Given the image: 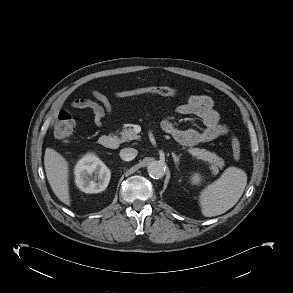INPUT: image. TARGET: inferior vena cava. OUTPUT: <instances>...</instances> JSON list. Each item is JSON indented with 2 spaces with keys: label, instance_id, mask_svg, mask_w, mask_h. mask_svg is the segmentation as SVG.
Instances as JSON below:
<instances>
[{
  "label": "inferior vena cava",
  "instance_id": "602c4592",
  "mask_svg": "<svg viewBox=\"0 0 293 293\" xmlns=\"http://www.w3.org/2000/svg\"><path fill=\"white\" fill-rule=\"evenodd\" d=\"M137 153L134 148H124L120 151V157L124 161H131L137 156Z\"/></svg>",
  "mask_w": 293,
  "mask_h": 293
}]
</instances>
